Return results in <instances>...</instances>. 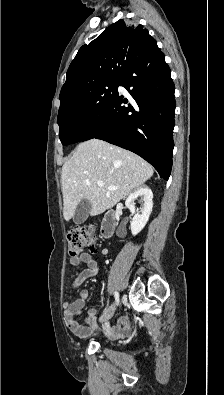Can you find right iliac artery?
I'll return each instance as SVG.
<instances>
[{
    "instance_id": "1",
    "label": "right iliac artery",
    "mask_w": 224,
    "mask_h": 395,
    "mask_svg": "<svg viewBox=\"0 0 224 395\" xmlns=\"http://www.w3.org/2000/svg\"><path fill=\"white\" fill-rule=\"evenodd\" d=\"M114 296H115V302L118 305L119 304V294L117 292H115ZM112 306H114V305H112Z\"/></svg>"
}]
</instances>
